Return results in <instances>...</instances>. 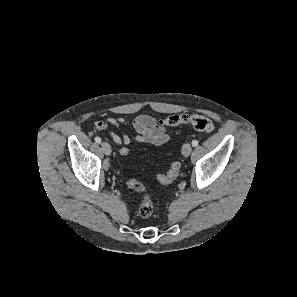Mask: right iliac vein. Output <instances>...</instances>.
<instances>
[{"instance_id": "obj_1", "label": "right iliac vein", "mask_w": 297, "mask_h": 297, "mask_svg": "<svg viewBox=\"0 0 297 297\" xmlns=\"http://www.w3.org/2000/svg\"><path fill=\"white\" fill-rule=\"evenodd\" d=\"M102 150L106 155L111 154V146L107 142H103L101 144Z\"/></svg>"}]
</instances>
